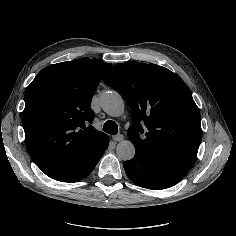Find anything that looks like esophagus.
<instances>
[{"label":"esophagus","instance_id":"34e87169","mask_svg":"<svg viewBox=\"0 0 236 236\" xmlns=\"http://www.w3.org/2000/svg\"><path fill=\"white\" fill-rule=\"evenodd\" d=\"M124 136L122 134H119V135H116V136H113V140L114 141H121L123 140Z\"/></svg>","mask_w":236,"mask_h":236}]
</instances>
